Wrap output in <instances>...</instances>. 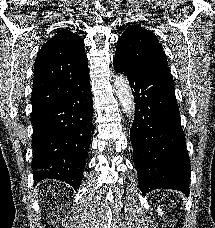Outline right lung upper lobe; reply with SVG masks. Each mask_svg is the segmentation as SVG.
I'll use <instances>...</instances> for the list:
<instances>
[{"instance_id": "1", "label": "right lung upper lobe", "mask_w": 215, "mask_h": 228, "mask_svg": "<svg viewBox=\"0 0 215 228\" xmlns=\"http://www.w3.org/2000/svg\"><path fill=\"white\" fill-rule=\"evenodd\" d=\"M89 74L83 40L62 29L40 49L34 67L32 114L63 97L70 82Z\"/></svg>"}]
</instances>
